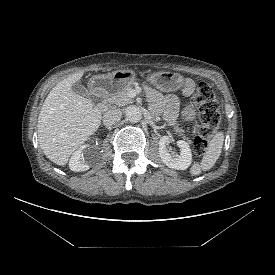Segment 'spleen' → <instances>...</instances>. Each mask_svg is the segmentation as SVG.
I'll list each match as a JSON object with an SVG mask.
<instances>
[{"mask_svg":"<svg viewBox=\"0 0 275 275\" xmlns=\"http://www.w3.org/2000/svg\"><path fill=\"white\" fill-rule=\"evenodd\" d=\"M224 143V134L223 132H218L214 135L212 140L210 141L206 152L202 158L200 164L195 163L190 169V173L193 176L199 175L201 171L210 170L222 152V147Z\"/></svg>","mask_w":275,"mask_h":275,"instance_id":"spleen-1","label":"spleen"}]
</instances>
